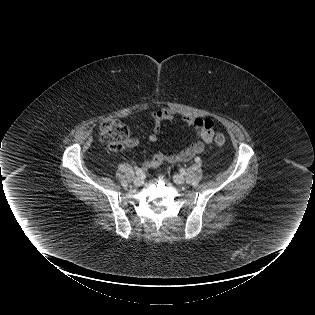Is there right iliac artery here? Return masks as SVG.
I'll list each match as a JSON object with an SVG mask.
<instances>
[{
  "mask_svg": "<svg viewBox=\"0 0 315 315\" xmlns=\"http://www.w3.org/2000/svg\"><path fill=\"white\" fill-rule=\"evenodd\" d=\"M142 173H143V171H142V169L141 168H138L137 170H136V175H142Z\"/></svg>",
  "mask_w": 315,
  "mask_h": 315,
  "instance_id": "obj_1",
  "label": "right iliac artery"
}]
</instances>
